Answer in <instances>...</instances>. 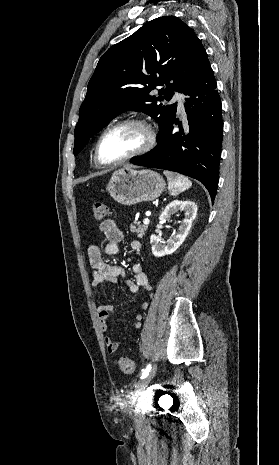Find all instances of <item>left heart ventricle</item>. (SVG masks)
I'll return each mask as SVG.
<instances>
[{
	"label": "left heart ventricle",
	"mask_w": 279,
	"mask_h": 465,
	"mask_svg": "<svg viewBox=\"0 0 279 465\" xmlns=\"http://www.w3.org/2000/svg\"><path fill=\"white\" fill-rule=\"evenodd\" d=\"M145 131L139 126H125L109 132L101 143L100 156L105 162L118 160L139 149L145 142Z\"/></svg>",
	"instance_id": "b2bd125f"
}]
</instances>
